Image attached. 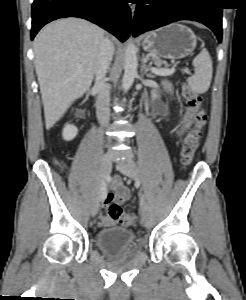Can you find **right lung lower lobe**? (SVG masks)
<instances>
[{
  "label": "right lung lower lobe",
  "mask_w": 246,
  "mask_h": 300,
  "mask_svg": "<svg viewBox=\"0 0 246 300\" xmlns=\"http://www.w3.org/2000/svg\"><path fill=\"white\" fill-rule=\"evenodd\" d=\"M71 16L101 26L122 42L129 37L131 13L127 0H34L31 39L50 21Z\"/></svg>",
  "instance_id": "obj_1"
}]
</instances>
